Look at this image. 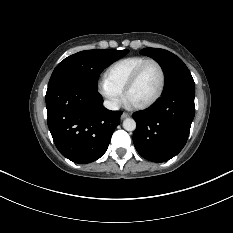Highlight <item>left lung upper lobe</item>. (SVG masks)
Here are the masks:
<instances>
[{"label": "left lung upper lobe", "mask_w": 233, "mask_h": 233, "mask_svg": "<svg viewBox=\"0 0 233 233\" xmlns=\"http://www.w3.org/2000/svg\"><path fill=\"white\" fill-rule=\"evenodd\" d=\"M141 53L154 58L163 68L166 77L163 94L178 88L195 89L190 71L176 55L159 48H145Z\"/></svg>", "instance_id": "5c2ea615"}]
</instances>
